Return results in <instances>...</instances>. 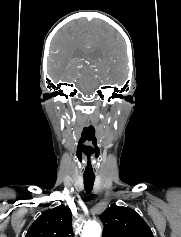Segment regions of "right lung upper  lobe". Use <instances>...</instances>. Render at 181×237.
Wrapping results in <instances>:
<instances>
[{
	"label": "right lung upper lobe",
	"instance_id": "obj_1",
	"mask_svg": "<svg viewBox=\"0 0 181 237\" xmlns=\"http://www.w3.org/2000/svg\"><path fill=\"white\" fill-rule=\"evenodd\" d=\"M25 237H74L70 208L60 205L43 212L30 226Z\"/></svg>",
	"mask_w": 181,
	"mask_h": 237
}]
</instances>
